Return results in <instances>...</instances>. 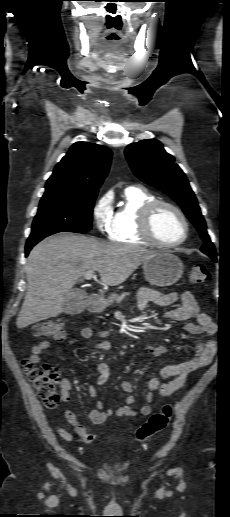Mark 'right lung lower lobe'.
Listing matches in <instances>:
<instances>
[{
    "label": "right lung lower lobe",
    "instance_id": "obj_1",
    "mask_svg": "<svg viewBox=\"0 0 230 517\" xmlns=\"http://www.w3.org/2000/svg\"><path fill=\"white\" fill-rule=\"evenodd\" d=\"M47 236H49V235L41 236V237H37V238H33V239H28L27 243H26V246H25V250H26L25 256H27L29 254V251L32 249V247L34 245H36L39 241H41L42 239H44Z\"/></svg>",
    "mask_w": 230,
    "mask_h": 517
}]
</instances>
